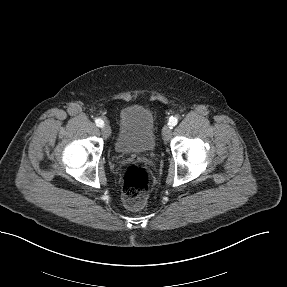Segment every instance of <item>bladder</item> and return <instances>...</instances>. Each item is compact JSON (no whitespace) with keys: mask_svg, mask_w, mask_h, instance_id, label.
I'll use <instances>...</instances> for the list:
<instances>
[{"mask_svg":"<svg viewBox=\"0 0 287 287\" xmlns=\"http://www.w3.org/2000/svg\"><path fill=\"white\" fill-rule=\"evenodd\" d=\"M156 145L155 125L152 112L141 105L123 108L119 114L118 133L114 148L118 154H147Z\"/></svg>","mask_w":287,"mask_h":287,"instance_id":"obj_1","label":"bladder"}]
</instances>
